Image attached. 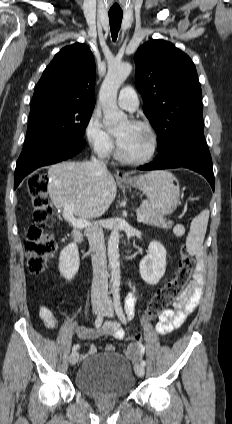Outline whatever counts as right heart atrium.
Masks as SVG:
<instances>
[{
  "instance_id": "obj_1",
  "label": "right heart atrium",
  "mask_w": 232,
  "mask_h": 424,
  "mask_svg": "<svg viewBox=\"0 0 232 424\" xmlns=\"http://www.w3.org/2000/svg\"><path fill=\"white\" fill-rule=\"evenodd\" d=\"M84 135L91 150L100 157H108L114 150V138L105 128L100 117L93 113L88 119Z\"/></svg>"
}]
</instances>
